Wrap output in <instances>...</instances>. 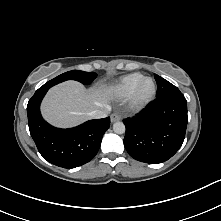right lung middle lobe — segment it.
Here are the masks:
<instances>
[{
  "label": "right lung middle lobe",
  "instance_id": "1",
  "mask_svg": "<svg viewBox=\"0 0 221 221\" xmlns=\"http://www.w3.org/2000/svg\"><path fill=\"white\" fill-rule=\"evenodd\" d=\"M97 77V74L94 72H84L80 70H72L68 71L66 73H63L54 79L48 81L45 83L41 88L39 89H45L50 88L58 83H61L66 80H76L81 82L82 84L88 85L90 84L95 78Z\"/></svg>",
  "mask_w": 221,
  "mask_h": 221
}]
</instances>
